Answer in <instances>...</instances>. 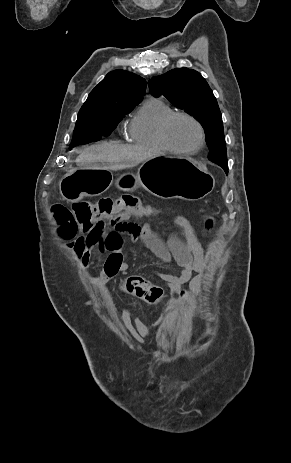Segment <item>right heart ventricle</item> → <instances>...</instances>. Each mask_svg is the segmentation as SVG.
I'll list each match as a JSON object with an SVG mask.
<instances>
[{"label":"right heart ventricle","instance_id":"right-heart-ventricle-1","mask_svg":"<svg viewBox=\"0 0 291 463\" xmlns=\"http://www.w3.org/2000/svg\"><path fill=\"white\" fill-rule=\"evenodd\" d=\"M175 110L158 98L147 99L127 126L128 140L159 151H167L160 136L162 122Z\"/></svg>","mask_w":291,"mask_h":463}]
</instances>
